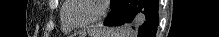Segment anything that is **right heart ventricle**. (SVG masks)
<instances>
[{"label": "right heart ventricle", "instance_id": "right-heart-ventricle-1", "mask_svg": "<svg viewBox=\"0 0 219 37\" xmlns=\"http://www.w3.org/2000/svg\"><path fill=\"white\" fill-rule=\"evenodd\" d=\"M66 8V3H64L63 4V6H62V10H64ZM62 28H63V31L64 32H70L73 28L72 27H70L67 23H66V21L64 20V19H62Z\"/></svg>", "mask_w": 219, "mask_h": 37}]
</instances>
